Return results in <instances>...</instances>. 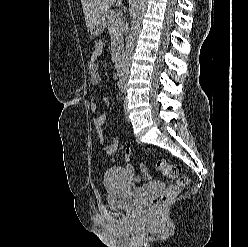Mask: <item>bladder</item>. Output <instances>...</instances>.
<instances>
[{"label":"bladder","mask_w":248,"mask_h":247,"mask_svg":"<svg viewBox=\"0 0 248 247\" xmlns=\"http://www.w3.org/2000/svg\"><path fill=\"white\" fill-rule=\"evenodd\" d=\"M104 186L108 203L117 208H131L138 201L144 187H134L127 172L121 168H111L104 175Z\"/></svg>","instance_id":"obj_1"}]
</instances>
